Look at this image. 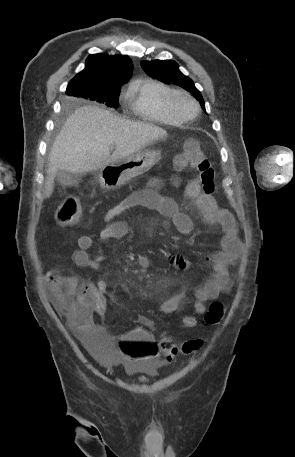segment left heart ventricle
<instances>
[{
    "label": "left heart ventricle",
    "mask_w": 295,
    "mask_h": 457,
    "mask_svg": "<svg viewBox=\"0 0 295 457\" xmlns=\"http://www.w3.org/2000/svg\"><path fill=\"white\" fill-rule=\"evenodd\" d=\"M178 107L182 113L190 114L193 112V105L187 100H184V99L179 100Z\"/></svg>",
    "instance_id": "obj_1"
}]
</instances>
